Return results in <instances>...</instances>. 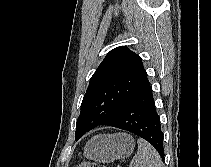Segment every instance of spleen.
<instances>
[{
  "instance_id": "3e777b00",
  "label": "spleen",
  "mask_w": 211,
  "mask_h": 167,
  "mask_svg": "<svg viewBox=\"0 0 211 167\" xmlns=\"http://www.w3.org/2000/svg\"><path fill=\"white\" fill-rule=\"evenodd\" d=\"M138 151L129 167H162V160L155 148L146 140L139 138Z\"/></svg>"
}]
</instances>
